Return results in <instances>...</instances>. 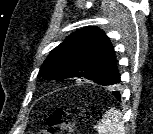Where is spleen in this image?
<instances>
[{
	"label": "spleen",
	"mask_w": 153,
	"mask_h": 134,
	"mask_svg": "<svg viewBox=\"0 0 153 134\" xmlns=\"http://www.w3.org/2000/svg\"><path fill=\"white\" fill-rule=\"evenodd\" d=\"M97 131L98 134H125L122 113L115 108L107 110L97 124Z\"/></svg>",
	"instance_id": "obj_1"
}]
</instances>
